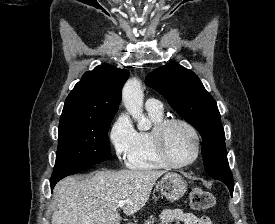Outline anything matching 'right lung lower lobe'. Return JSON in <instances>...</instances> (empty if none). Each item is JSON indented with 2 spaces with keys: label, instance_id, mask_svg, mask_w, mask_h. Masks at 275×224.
Listing matches in <instances>:
<instances>
[{
  "label": "right lung lower lobe",
  "instance_id": "1",
  "mask_svg": "<svg viewBox=\"0 0 275 224\" xmlns=\"http://www.w3.org/2000/svg\"><path fill=\"white\" fill-rule=\"evenodd\" d=\"M58 181H59V180L50 181L51 189L54 188L55 184H56Z\"/></svg>",
  "mask_w": 275,
  "mask_h": 224
}]
</instances>
